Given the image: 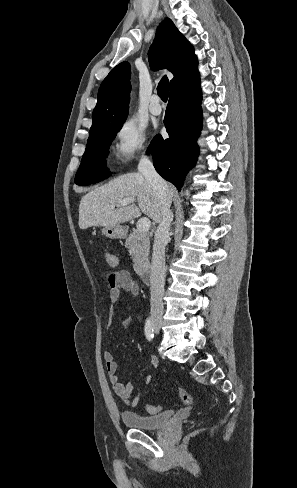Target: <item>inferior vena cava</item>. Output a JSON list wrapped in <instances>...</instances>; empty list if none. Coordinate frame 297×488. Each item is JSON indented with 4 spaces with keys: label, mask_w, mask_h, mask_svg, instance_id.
I'll return each mask as SVG.
<instances>
[{
    "label": "inferior vena cava",
    "mask_w": 297,
    "mask_h": 488,
    "mask_svg": "<svg viewBox=\"0 0 297 488\" xmlns=\"http://www.w3.org/2000/svg\"><path fill=\"white\" fill-rule=\"evenodd\" d=\"M138 172L142 173L145 179L156 190L163 206L162 220L154 236L150 273L151 317H162L164 309L162 297L165 283V247L169 241V229L173 220V212L170 210L172 199L168 191L167 183L158 175L153 163L145 154L140 158Z\"/></svg>",
    "instance_id": "obj_1"
}]
</instances>
